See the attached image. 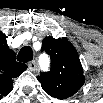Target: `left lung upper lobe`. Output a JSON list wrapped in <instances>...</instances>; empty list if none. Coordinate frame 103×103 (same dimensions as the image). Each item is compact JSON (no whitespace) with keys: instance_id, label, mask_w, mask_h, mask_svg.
Masks as SVG:
<instances>
[{"instance_id":"5c2ea615","label":"left lung upper lobe","mask_w":103,"mask_h":103,"mask_svg":"<svg viewBox=\"0 0 103 103\" xmlns=\"http://www.w3.org/2000/svg\"><path fill=\"white\" fill-rule=\"evenodd\" d=\"M44 50L50 55L51 70L37 77L42 88L58 99L73 96L85 82L76 49L66 38L49 36L43 40Z\"/></svg>"}]
</instances>
